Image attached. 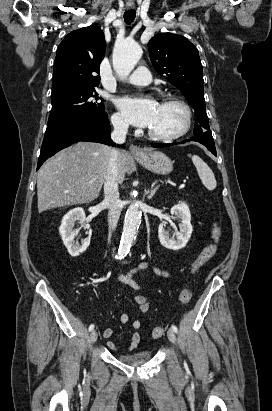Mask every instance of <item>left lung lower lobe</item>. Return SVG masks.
I'll list each match as a JSON object with an SVG mask.
<instances>
[{"label": "left lung lower lobe", "instance_id": "obj_1", "mask_svg": "<svg viewBox=\"0 0 272 411\" xmlns=\"http://www.w3.org/2000/svg\"><path fill=\"white\" fill-rule=\"evenodd\" d=\"M189 141H196L199 142L203 145H205L209 151H211L212 154H214L215 156H217L216 153V148H215V144H214V140L212 137V133L211 132H205L203 134L200 135H195L193 136L191 139L185 140L181 143H185V142H189ZM177 143H169V144H151L152 147H163V146H171V145H176Z\"/></svg>", "mask_w": 272, "mask_h": 411}]
</instances>
